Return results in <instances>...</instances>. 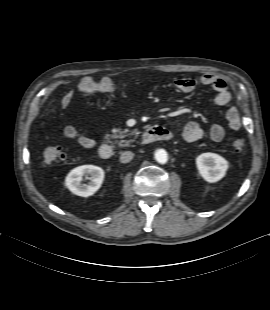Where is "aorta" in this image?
Instances as JSON below:
<instances>
[{
    "label": "aorta",
    "instance_id": "1",
    "mask_svg": "<svg viewBox=\"0 0 270 310\" xmlns=\"http://www.w3.org/2000/svg\"><path fill=\"white\" fill-rule=\"evenodd\" d=\"M155 159L160 164H165L168 161V154L164 149H158L155 152Z\"/></svg>",
    "mask_w": 270,
    "mask_h": 310
}]
</instances>
